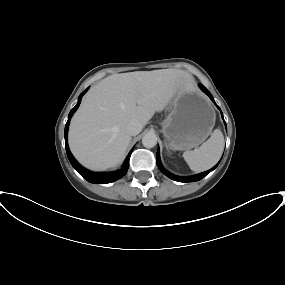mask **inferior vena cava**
Listing matches in <instances>:
<instances>
[{
  "label": "inferior vena cava",
  "mask_w": 285,
  "mask_h": 285,
  "mask_svg": "<svg viewBox=\"0 0 285 285\" xmlns=\"http://www.w3.org/2000/svg\"><path fill=\"white\" fill-rule=\"evenodd\" d=\"M126 130H127L129 135L135 136V135H137V134H139L141 132L142 124L138 120H131L127 124Z\"/></svg>",
  "instance_id": "602c4592"
}]
</instances>
